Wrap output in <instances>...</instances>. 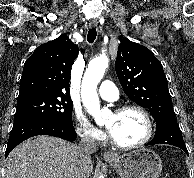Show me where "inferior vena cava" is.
Listing matches in <instances>:
<instances>
[{
    "label": "inferior vena cava",
    "instance_id": "602c4592",
    "mask_svg": "<svg viewBox=\"0 0 194 178\" xmlns=\"http://www.w3.org/2000/svg\"><path fill=\"white\" fill-rule=\"evenodd\" d=\"M79 152L83 160H88L90 159V155L96 152V144L90 137L84 136L82 137L79 143ZM74 178H85V177L81 172H79L75 175Z\"/></svg>",
    "mask_w": 194,
    "mask_h": 178
}]
</instances>
